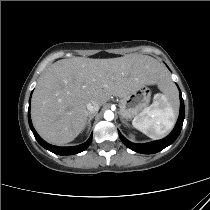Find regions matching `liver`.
I'll list each match as a JSON object with an SVG mask.
<instances>
[{
    "label": "liver",
    "mask_w": 210,
    "mask_h": 210,
    "mask_svg": "<svg viewBox=\"0 0 210 210\" xmlns=\"http://www.w3.org/2000/svg\"><path fill=\"white\" fill-rule=\"evenodd\" d=\"M164 67L147 55L110 59L73 57L58 60L42 74L32 96L31 118L38 134L54 145L74 140L88 120L87 104L104 105L146 85L164 91Z\"/></svg>",
    "instance_id": "obj_1"
}]
</instances>
